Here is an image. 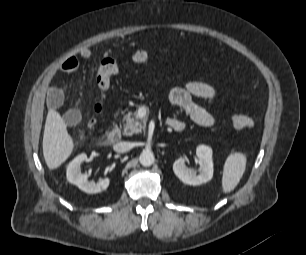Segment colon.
I'll use <instances>...</instances> for the list:
<instances>
[{
  "mask_svg": "<svg viewBox=\"0 0 306 255\" xmlns=\"http://www.w3.org/2000/svg\"><path fill=\"white\" fill-rule=\"evenodd\" d=\"M149 58L148 51L145 49H137L132 56V60L134 63L143 64ZM121 69V63L111 57H106L102 59L99 63L97 73H96V83L98 88L102 93V99L105 98L107 92L110 89L111 85V78L118 74ZM102 110L101 103L95 105L94 112L96 114L100 113ZM229 120L234 128L236 129H243V130H250L254 127V121L242 114L232 113L229 116ZM94 122L91 123V126Z\"/></svg>",
  "mask_w": 306,
  "mask_h": 255,
  "instance_id": "1",
  "label": "colon"
}]
</instances>
